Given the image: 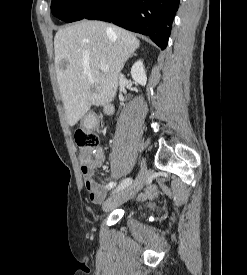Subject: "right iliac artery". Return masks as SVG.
<instances>
[{
    "label": "right iliac artery",
    "mask_w": 247,
    "mask_h": 275,
    "mask_svg": "<svg viewBox=\"0 0 247 275\" xmlns=\"http://www.w3.org/2000/svg\"><path fill=\"white\" fill-rule=\"evenodd\" d=\"M132 183V179L131 178H126L124 179L121 184L118 186V188L116 189L115 192H118L120 190L125 189L127 186H129Z\"/></svg>",
    "instance_id": "obj_1"
}]
</instances>
